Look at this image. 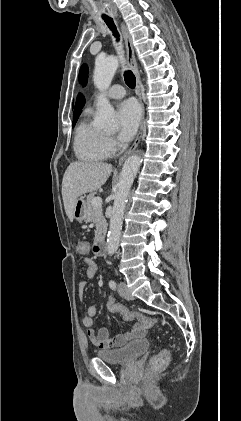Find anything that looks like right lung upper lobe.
<instances>
[{"label": "right lung upper lobe", "mask_w": 241, "mask_h": 421, "mask_svg": "<svg viewBox=\"0 0 241 421\" xmlns=\"http://www.w3.org/2000/svg\"><path fill=\"white\" fill-rule=\"evenodd\" d=\"M84 104H85L84 96L82 94H78L76 104H75V108H74V118L79 117Z\"/></svg>", "instance_id": "obj_1"}]
</instances>
